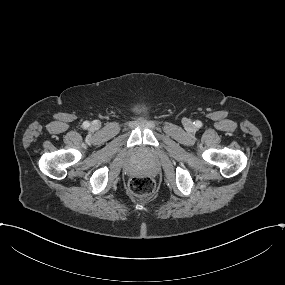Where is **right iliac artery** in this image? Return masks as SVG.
<instances>
[{
  "instance_id": "right-iliac-artery-1",
  "label": "right iliac artery",
  "mask_w": 285,
  "mask_h": 285,
  "mask_svg": "<svg viewBox=\"0 0 285 285\" xmlns=\"http://www.w3.org/2000/svg\"><path fill=\"white\" fill-rule=\"evenodd\" d=\"M83 127H84V128H88V127H89V122H88V121H85V122L83 123Z\"/></svg>"
}]
</instances>
